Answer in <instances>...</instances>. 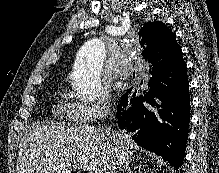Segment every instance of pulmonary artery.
I'll return each mask as SVG.
<instances>
[{"label":"pulmonary artery","mask_w":219,"mask_h":173,"mask_svg":"<svg viewBox=\"0 0 219 173\" xmlns=\"http://www.w3.org/2000/svg\"><path fill=\"white\" fill-rule=\"evenodd\" d=\"M130 73V69L128 68H123L121 66H118L116 67L114 70H113V75L116 77V78H122V77H126L127 75H129Z\"/></svg>","instance_id":"e3ab8cb5"}]
</instances>
